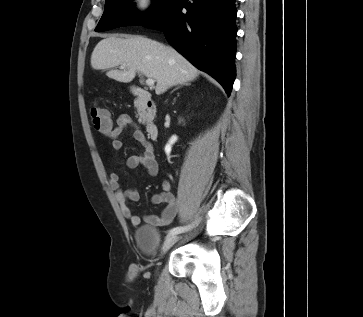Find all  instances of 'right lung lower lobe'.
<instances>
[{
	"instance_id": "1",
	"label": "right lung lower lobe",
	"mask_w": 363,
	"mask_h": 317,
	"mask_svg": "<svg viewBox=\"0 0 363 317\" xmlns=\"http://www.w3.org/2000/svg\"><path fill=\"white\" fill-rule=\"evenodd\" d=\"M235 0H175L158 19L144 25L162 30L167 41L230 95L236 76ZM185 8L187 13H182Z\"/></svg>"
}]
</instances>
